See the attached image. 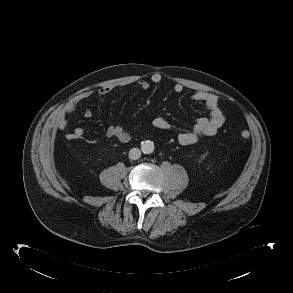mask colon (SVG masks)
<instances>
[{"label":"colon","mask_w":293,"mask_h":293,"mask_svg":"<svg viewBox=\"0 0 293 293\" xmlns=\"http://www.w3.org/2000/svg\"><path fill=\"white\" fill-rule=\"evenodd\" d=\"M250 137V133L248 130H243L241 133H240V138L242 140H247L248 138Z\"/></svg>","instance_id":"colon-1"}]
</instances>
